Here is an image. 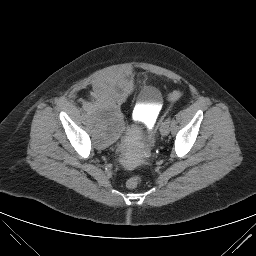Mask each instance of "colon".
Returning a JSON list of instances; mask_svg holds the SVG:
<instances>
[{
	"instance_id": "obj_1",
	"label": "colon",
	"mask_w": 256,
	"mask_h": 256,
	"mask_svg": "<svg viewBox=\"0 0 256 256\" xmlns=\"http://www.w3.org/2000/svg\"><path fill=\"white\" fill-rule=\"evenodd\" d=\"M181 96V91H174L173 93L170 94V99L171 100H176ZM127 167H130V165H127ZM141 183V177L140 176H132L128 178L126 181V186L129 189H134L136 188L139 184Z\"/></svg>"
}]
</instances>
